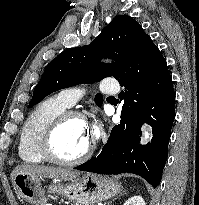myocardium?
I'll list each match as a JSON object with an SVG mask.
<instances>
[{
	"label": "myocardium",
	"instance_id": "myocardium-1",
	"mask_svg": "<svg viewBox=\"0 0 199 205\" xmlns=\"http://www.w3.org/2000/svg\"><path fill=\"white\" fill-rule=\"evenodd\" d=\"M73 118L80 119L87 123V118L83 113L76 110H64L56 115L42 131L39 140V151L46 161L57 165L71 166L87 160L93 154L95 148L93 140L80 155L74 158H63L56 153L54 149L56 132L67 120Z\"/></svg>",
	"mask_w": 199,
	"mask_h": 205
}]
</instances>
